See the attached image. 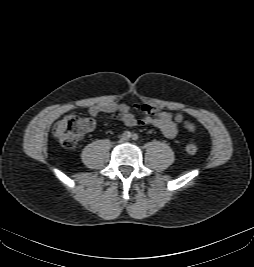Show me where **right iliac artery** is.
<instances>
[{"label":"right iliac artery","instance_id":"obj_1","mask_svg":"<svg viewBox=\"0 0 254 267\" xmlns=\"http://www.w3.org/2000/svg\"><path fill=\"white\" fill-rule=\"evenodd\" d=\"M132 136V134H131V132H129V131H125L124 133H123V137L124 138H130Z\"/></svg>","mask_w":254,"mask_h":267}]
</instances>
